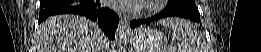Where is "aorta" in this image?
Segmentation results:
<instances>
[{"instance_id":"762f6f07","label":"aorta","mask_w":261,"mask_h":52,"mask_svg":"<svg viewBox=\"0 0 261 52\" xmlns=\"http://www.w3.org/2000/svg\"><path fill=\"white\" fill-rule=\"evenodd\" d=\"M118 39V41H119V43H121L122 42V39H123V34H122V32L121 31H118L117 32V36H116V40ZM118 52H122V50H123V47L121 46V45H119V47H118Z\"/></svg>"}]
</instances>
